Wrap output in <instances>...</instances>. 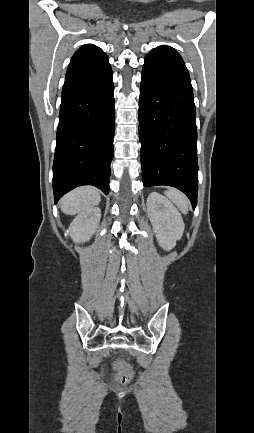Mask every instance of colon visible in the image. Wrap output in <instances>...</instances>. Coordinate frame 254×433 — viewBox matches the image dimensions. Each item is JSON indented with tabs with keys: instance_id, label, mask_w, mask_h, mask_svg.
<instances>
[{
	"instance_id": "colon-1",
	"label": "colon",
	"mask_w": 254,
	"mask_h": 433,
	"mask_svg": "<svg viewBox=\"0 0 254 433\" xmlns=\"http://www.w3.org/2000/svg\"><path fill=\"white\" fill-rule=\"evenodd\" d=\"M118 368L126 373V376L124 377V381H126L128 379L129 368L123 363H119Z\"/></svg>"
}]
</instances>
